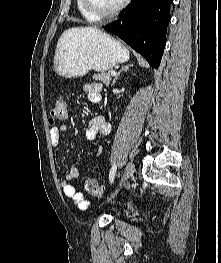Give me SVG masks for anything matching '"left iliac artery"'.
I'll return each mask as SVG.
<instances>
[{
	"label": "left iliac artery",
	"mask_w": 221,
	"mask_h": 263,
	"mask_svg": "<svg viewBox=\"0 0 221 263\" xmlns=\"http://www.w3.org/2000/svg\"><path fill=\"white\" fill-rule=\"evenodd\" d=\"M115 173H116V165H114L111 170H110V174H109V180L112 183L115 177Z\"/></svg>",
	"instance_id": "left-iliac-artery-1"
}]
</instances>
